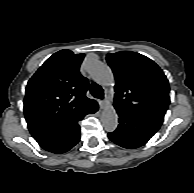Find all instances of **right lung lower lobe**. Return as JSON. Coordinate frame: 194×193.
<instances>
[{
    "label": "right lung lower lobe",
    "mask_w": 194,
    "mask_h": 193,
    "mask_svg": "<svg viewBox=\"0 0 194 193\" xmlns=\"http://www.w3.org/2000/svg\"><path fill=\"white\" fill-rule=\"evenodd\" d=\"M98 110L96 103L88 110L71 117L55 126L31 132L34 139L45 150L53 153H64L70 150L80 140L81 121L85 115L95 113Z\"/></svg>",
    "instance_id": "98d812e1"
}]
</instances>
